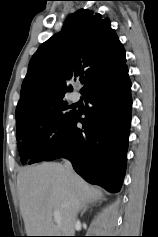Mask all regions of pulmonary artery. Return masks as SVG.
Returning <instances> with one entry per match:
<instances>
[{
    "instance_id": "obj_1",
    "label": "pulmonary artery",
    "mask_w": 158,
    "mask_h": 237,
    "mask_svg": "<svg viewBox=\"0 0 158 237\" xmlns=\"http://www.w3.org/2000/svg\"><path fill=\"white\" fill-rule=\"evenodd\" d=\"M80 95L77 92H73L70 96V99L72 102H77L79 101Z\"/></svg>"
}]
</instances>
